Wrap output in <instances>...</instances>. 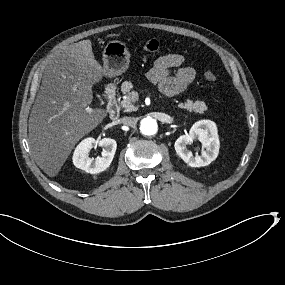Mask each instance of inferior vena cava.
I'll return each mask as SVG.
<instances>
[{
    "label": "inferior vena cava",
    "mask_w": 285,
    "mask_h": 285,
    "mask_svg": "<svg viewBox=\"0 0 285 285\" xmlns=\"http://www.w3.org/2000/svg\"><path fill=\"white\" fill-rule=\"evenodd\" d=\"M120 122L126 126L134 127L137 120L134 117H123Z\"/></svg>",
    "instance_id": "1"
}]
</instances>
